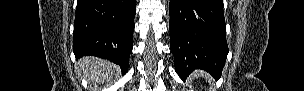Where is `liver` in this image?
<instances>
[{"mask_svg": "<svg viewBox=\"0 0 304 91\" xmlns=\"http://www.w3.org/2000/svg\"><path fill=\"white\" fill-rule=\"evenodd\" d=\"M77 70L91 83H99L108 80L118 70V67L101 58L85 57L79 60Z\"/></svg>", "mask_w": 304, "mask_h": 91, "instance_id": "1", "label": "liver"}]
</instances>
